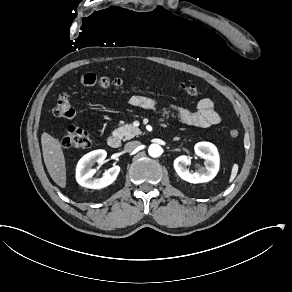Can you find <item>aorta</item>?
<instances>
[{
  "label": "aorta",
  "instance_id": "aorta-1",
  "mask_svg": "<svg viewBox=\"0 0 292 292\" xmlns=\"http://www.w3.org/2000/svg\"><path fill=\"white\" fill-rule=\"evenodd\" d=\"M148 152L151 157L157 158L161 155L162 148L158 144H152L150 145Z\"/></svg>",
  "mask_w": 292,
  "mask_h": 292
}]
</instances>
